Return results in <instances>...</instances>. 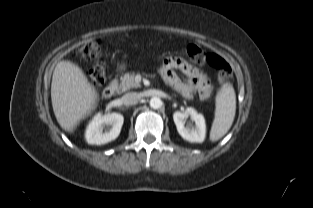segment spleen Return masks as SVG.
Returning a JSON list of instances; mask_svg holds the SVG:
<instances>
[{
	"label": "spleen",
	"mask_w": 313,
	"mask_h": 208,
	"mask_svg": "<svg viewBox=\"0 0 313 208\" xmlns=\"http://www.w3.org/2000/svg\"><path fill=\"white\" fill-rule=\"evenodd\" d=\"M215 118L210 131V140L222 138L232 126L236 113V95L231 84H224L216 95Z\"/></svg>",
	"instance_id": "obj_1"
}]
</instances>
